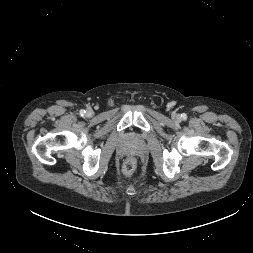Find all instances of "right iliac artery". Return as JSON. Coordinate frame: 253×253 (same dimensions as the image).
<instances>
[{"label":"right iliac artery","instance_id":"right-iliac-artery-1","mask_svg":"<svg viewBox=\"0 0 253 253\" xmlns=\"http://www.w3.org/2000/svg\"><path fill=\"white\" fill-rule=\"evenodd\" d=\"M80 114L83 116L85 114V110H81Z\"/></svg>","mask_w":253,"mask_h":253}]
</instances>
